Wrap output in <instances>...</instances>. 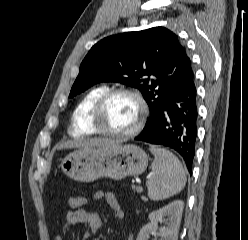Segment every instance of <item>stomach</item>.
I'll return each mask as SVG.
<instances>
[{
    "mask_svg": "<svg viewBox=\"0 0 248 240\" xmlns=\"http://www.w3.org/2000/svg\"><path fill=\"white\" fill-rule=\"evenodd\" d=\"M148 165L143 149L133 144H115L93 150H76L62 159L65 175L80 182H92L102 177L114 180L142 174Z\"/></svg>",
    "mask_w": 248,
    "mask_h": 240,
    "instance_id": "stomach-1",
    "label": "stomach"
}]
</instances>
